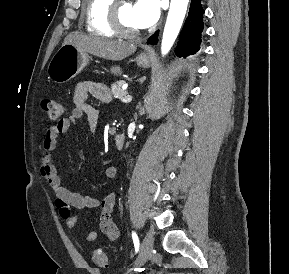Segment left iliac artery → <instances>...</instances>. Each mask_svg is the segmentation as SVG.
Returning <instances> with one entry per match:
<instances>
[{
  "label": "left iliac artery",
  "instance_id": "44dca946",
  "mask_svg": "<svg viewBox=\"0 0 289 274\" xmlns=\"http://www.w3.org/2000/svg\"><path fill=\"white\" fill-rule=\"evenodd\" d=\"M132 239L135 247V252L137 253L139 250V239L135 232H132Z\"/></svg>",
  "mask_w": 289,
  "mask_h": 274
}]
</instances>
